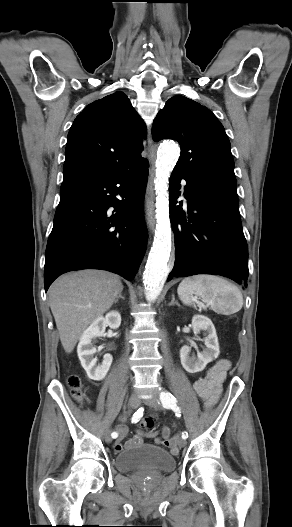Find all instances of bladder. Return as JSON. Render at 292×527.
Segmentation results:
<instances>
[{
  "mask_svg": "<svg viewBox=\"0 0 292 527\" xmlns=\"http://www.w3.org/2000/svg\"><path fill=\"white\" fill-rule=\"evenodd\" d=\"M175 464L170 452L150 444L129 447L120 452L115 460V466L121 472H169L175 468Z\"/></svg>",
  "mask_w": 292,
  "mask_h": 527,
  "instance_id": "31cf9c89",
  "label": "bladder"
}]
</instances>
